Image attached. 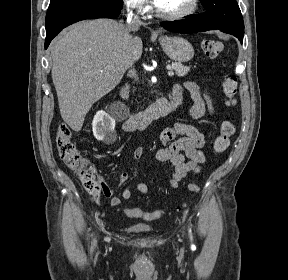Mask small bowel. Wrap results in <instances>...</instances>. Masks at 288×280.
I'll list each match as a JSON object with an SVG mask.
<instances>
[{"instance_id":"1","label":"small bowel","mask_w":288,"mask_h":280,"mask_svg":"<svg viewBox=\"0 0 288 280\" xmlns=\"http://www.w3.org/2000/svg\"><path fill=\"white\" fill-rule=\"evenodd\" d=\"M187 90L193 99V106L190 109V117L196 120L202 117L206 112H213L211 99L202 94L199 87L194 82H186L183 86H175L173 89V98L182 102L183 92ZM179 135L182 137L177 138ZM161 147L156 152V159L161 163L170 164L173 168L172 174L167 182L169 188H177L189 174H197L201 171L206 162V156L202 149L205 146V138L199 130L190 123H176L171 127L163 129L159 135ZM144 156L142 147L135 148L131 153V159L138 160ZM128 180L127 173H121L115 187L108 186L103 179H100L105 197L110 198V205L118 207L122 199H130L133 192L147 195L149 187L140 182L133 187H126L122 191V199L114 196L116 189L122 187ZM99 195L92 196L97 200Z\"/></svg>"}]
</instances>
